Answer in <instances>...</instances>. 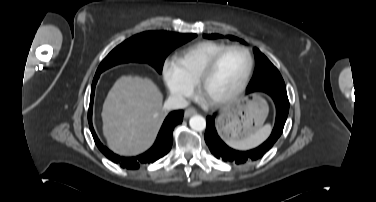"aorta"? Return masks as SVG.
Listing matches in <instances>:
<instances>
[{"label": "aorta", "instance_id": "obj_1", "mask_svg": "<svg viewBox=\"0 0 376 202\" xmlns=\"http://www.w3.org/2000/svg\"><path fill=\"white\" fill-rule=\"evenodd\" d=\"M189 125L195 131H203L206 128V120L201 115H194L190 118Z\"/></svg>", "mask_w": 376, "mask_h": 202}]
</instances>
